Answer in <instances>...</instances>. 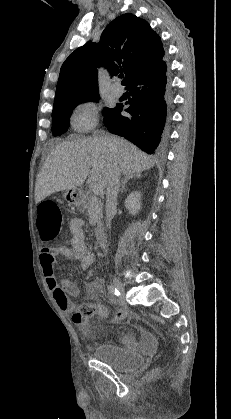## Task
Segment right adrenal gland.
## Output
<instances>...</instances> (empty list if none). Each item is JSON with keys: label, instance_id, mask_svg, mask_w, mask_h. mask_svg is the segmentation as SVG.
Returning <instances> with one entry per match:
<instances>
[{"label": "right adrenal gland", "instance_id": "2a0ac1e0", "mask_svg": "<svg viewBox=\"0 0 231 419\" xmlns=\"http://www.w3.org/2000/svg\"><path fill=\"white\" fill-rule=\"evenodd\" d=\"M140 177H141L140 173H135V174H132V175L125 176L124 179L122 180V183H121L120 193H123V191L125 189V185L129 180H131L133 178H140Z\"/></svg>", "mask_w": 231, "mask_h": 419}]
</instances>
